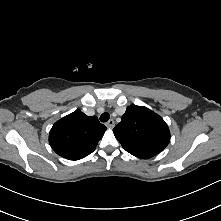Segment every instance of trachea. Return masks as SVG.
<instances>
[{"label":"trachea","instance_id":"trachea-1","mask_svg":"<svg viewBox=\"0 0 221 221\" xmlns=\"http://www.w3.org/2000/svg\"><path fill=\"white\" fill-rule=\"evenodd\" d=\"M110 118V115L109 113L105 112L103 113L101 116H100V121L101 122H107Z\"/></svg>","mask_w":221,"mask_h":221}]
</instances>
